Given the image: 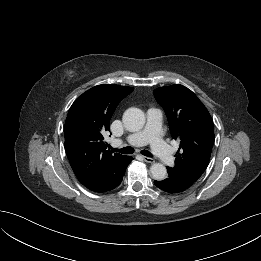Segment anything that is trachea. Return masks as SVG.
I'll list each match as a JSON object with an SVG mask.
<instances>
[{
	"label": "trachea",
	"instance_id": "trachea-1",
	"mask_svg": "<svg viewBox=\"0 0 261 261\" xmlns=\"http://www.w3.org/2000/svg\"><path fill=\"white\" fill-rule=\"evenodd\" d=\"M113 151L120 152L122 154H132L134 153V149L130 146L124 147L122 149H112ZM141 154L147 157H151V153L148 150H142Z\"/></svg>",
	"mask_w": 261,
	"mask_h": 261
}]
</instances>
